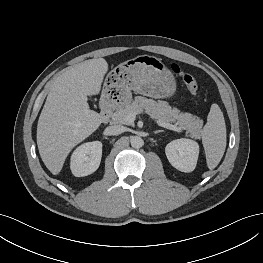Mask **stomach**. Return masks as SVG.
<instances>
[{"label":"stomach","instance_id":"obj_1","mask_svg":"<svg viewBox=\"0 0 263 263\" xmlns=\"http://www.w3.org/2000/svg\"><path fill=\"white\" fill-rule=\"evenodd\" d=\"M176 82L172 72L161 59L140 55L115 67L105 78L103 95L117 97L129 103L131 91L153 98H166L174 94Z\"/></svg>","mask_w":263,"mask_h":263}]
</instances>
